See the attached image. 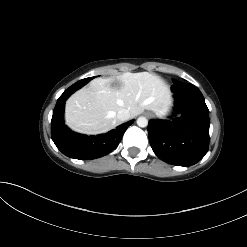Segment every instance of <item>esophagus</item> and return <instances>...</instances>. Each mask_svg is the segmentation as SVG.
<instances>
[{"label":"esophagus","mask_w":247,"mask_h":247,"mask_svg":"<svg viewBox=\"0 0 247 247\" xmlns=\"http://www.w3.org/2000/svg\"><path fill=\"white\" fill-rule=\"evenodd\" d=\"M146 117H151V114L150 113H145Z\"/></svg>","instance_id":"34e87169"}]
</instances>
